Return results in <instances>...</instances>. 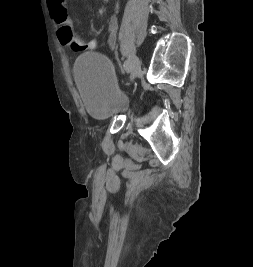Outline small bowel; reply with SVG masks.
Listing matches in <instances>:
<instances>
[{
  "label": "small bowel",
  "instance_id": "c3829d8e",
  "mask_svg": "<svg viewBox=\"0 0 253 267\" xmlns=\"http://www.w3.org/2000/svg\"><path fill=\"white\" fill-rule=\"evenodd\" d=\"M47 5L50 14L59 26L68 25L72 27L66 0H47ZM118 28V18L116 15H113L110 17L107 24V43L112 49H114L117 44Z\"/></svg>",
  "mask_w": 253,
  "mask_h": 267
}]
</instances>
